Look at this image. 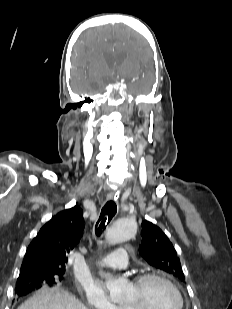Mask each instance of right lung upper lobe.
<instances>
[{"mask_svg": "<svg viewBox=\"0 0 232 309\" xmlns=\"http://www.w3.org/2000/svg\"><path fill=\"white\" fill-rule=\"evenodd\" d=\"M82 214V210L74 206L47 222L28 246L21 271H65L67 255L82 236Z\"/></svg>", "mask_w": 232, "mask_h": 309, "instance_id": "1", "label": "right lung upper lobe"}]
</instances>
